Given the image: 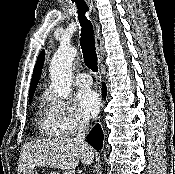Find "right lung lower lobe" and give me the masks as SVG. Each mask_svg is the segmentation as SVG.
Segmentation results:
<instances>
[{"mask_svg": "<svg viewBox=\"0 0 175 174\" xmlns=\"http://www.w3.org/2000/svg\"><path fill=\"white\" fill-rule=\"evenodd\" d=\"M103 96L106 97L107 89L106 86H102ZM87 141L97 150H100L103 146V131L99 124L91 130L90 134L87 136Z\"/></svg>", "mask_w": 175, "mask_h": 174, "instance_id": "right-lung-lower-lobe-1", "label": "right lung lower lobe"}]
</instances>
